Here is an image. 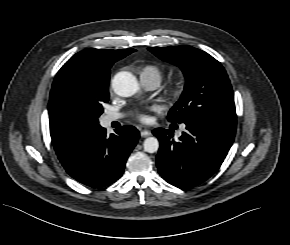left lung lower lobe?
<instances>
[{"label": "left lung lower lobe", "mask_w": 290, "mask_h": 245, "mask_svg": "<svg viewBox=\"0 0 290 245\" xmlns=\"http://www.w3.org/2000/svg\"><path fill=\"white\" fill-rule=\"evenodd\" d=\"M184 123L187 131L177 142L172 139L170 130L157 128L153 134L160 141L156 157L160 175L176 187L190 189L219 169L232 146L236 130L202 118Z\"/></svg>", "instance_id": "1"}]
</instances>
